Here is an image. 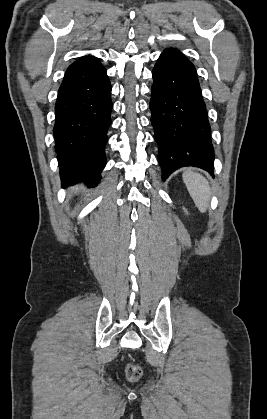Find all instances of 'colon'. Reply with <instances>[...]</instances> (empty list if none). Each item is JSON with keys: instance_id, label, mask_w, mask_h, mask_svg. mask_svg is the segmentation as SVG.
Returning a JSON list of instances; mask_svg holds the SVG:
<instances>
[{"instance_id": "obj_1", "label": "colon", "mask_w": 267, "mask_h": 419, "mask_svg": "<svg viewBox=\"0 0 267 419\" xmlns=\"http://www.w3.org/2000/svg\"><path fill=\"white\" fill-rule=\"evenodd\" d=\"M141 375V370L137 365L130 364L127 367V376L130 380H137Z\"/></svg>"}]
</instances>
